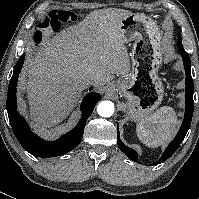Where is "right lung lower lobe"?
I'll return each instance as SVG.
<instances>
[{
    "instance_id": "98d812e1",
    "label": "right lung lower lobe",
    "mask_w": 199,
    "mask_h": 199,
    "mask_svg": "<svg viewBox=\"0 0 199 199\" xmlns=\"http://www.w3.org/2000/svg\"><path fill=\"white\" fill-rule=\"evenodd\" d=\"M24 59L25 53L22 54L14 67L7 93V113L13 132L22 147L36 157H56L63 155L74 149L81 142L86 120L93 112L96 103L101 99V95L95 92L87 94L81 103L82 117L78 125L56 141H44L30 131L26 122L17 112L16 85Z\"/></svg>"
}]
</instances>
